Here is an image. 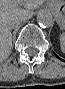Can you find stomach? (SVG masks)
I'll return each instance as SVG.
<instances>
[{
  "mask_svg": "<svg viewBox=\"0 0 65 89\" xmlns=\"http://www.w3.org/2000/svg\"><path fill=\"white\" fill-rule=\"evenodd\" d=\"M49 8L55 13L60 26H65V2L53 1L49 3Z\"/></svg>",
  "mask_w": 65,
  "mask_h": 89,
  "instance_id": "obj_1",
  "label": "stomach"
}]
</instances>
